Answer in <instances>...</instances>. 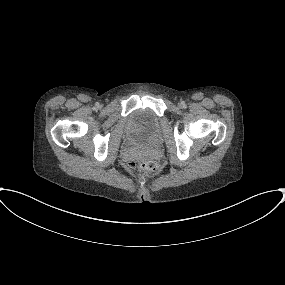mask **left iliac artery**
<instances>
[{
  "label": "left iliac artery",
  "mask_w": 285,
  "mask_h": 285,
  "mask_svg": "<svg viewBox=\"0 0 285 285\" xmlns=\"http://www.w3.org/2000/svg\"><path fill=\"white\" fill-rule=\"evenodd\" d=\"M181 104H182V107H184V108H185V106H186V105H185V102H182Z\"/></svg>",
  "instance_id": "left-iliac-artery-1"
}]
</instances>
